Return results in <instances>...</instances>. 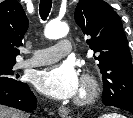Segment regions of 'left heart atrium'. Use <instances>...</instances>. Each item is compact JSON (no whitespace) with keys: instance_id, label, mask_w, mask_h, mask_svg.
Here are the masks:
<instances>
[{"instance_id":"obj_1","label":"left heart atrium","mask_w":133,"mask_h":118,"mask_svg":"<svg viewBox=\"0 0 133 118\" xmlns=\"http://www.w3.org/2000/svg\"><path fill=\"white\" fill-rule=\"evenodd\" d=\"M35 85L40 92L55 99L72 98L81 89L77 71L67 63L39 72L35 78Z\"/></svg>"}]
</instances>
